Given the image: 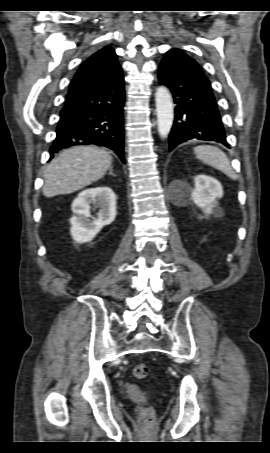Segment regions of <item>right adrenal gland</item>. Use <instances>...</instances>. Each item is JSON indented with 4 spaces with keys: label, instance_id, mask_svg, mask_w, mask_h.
I'll use <instances>...</instances> for the list:
<instances>
[{
    "label": "right adrenal gland",
    "instance_id": "obj_1",
    "mask_svg": "<svg viewBox=\"0 0 270 453\" xmlns=\"http://www.w3.org/2000/svg\"><path fill=\"white\" fill-rule=\"evenodd\" d=\"M109 174L112 175V176H114V177L116 176V175L113 173V169H112V168H110Z\"/></svg>",
    "mask_w": 270,
    "mask_h": 453
}]
</instances>
